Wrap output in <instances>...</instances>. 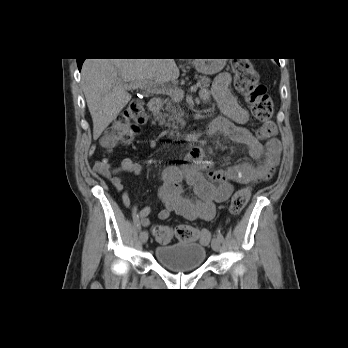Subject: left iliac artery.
I'll return each mask as SVG.
<instances>
[{"instance_id":"44dca946","label":"left iliac artery","mask_w":348,"mask_h":348,"mask_svg":"<svg viewBox=\"0 0 348 348\" xmlns=\"http://www.w3.org/2000/svg\"><path fill=\"white\" fill-rule=\"evenodd\" d=\"M217 238H218L221 242L224 241L223 234L220 232V230H218V232H217Z\"/></svg>"}]
</instances>
